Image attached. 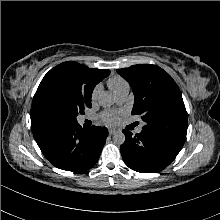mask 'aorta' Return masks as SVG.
Masks as SVG:
<instances>
[{"label":"aorta","instance_id":"1","mask_svg":"<svg viewBox=\"0 0 220 220\" xmlns=\"http://www.w3.org/2000/svg\"><path fill=\"white\" fill-rule=\"evenodd\" d=\"M98 102L100 106L107 108L113 105L114 98L111 94L104 92L101 93L98 97ZM113 141L117 145H121L125 142V135L122 131H117L113 135Z\"/></svg>","mask_w":220,"mask_h":220}]
</instances>
